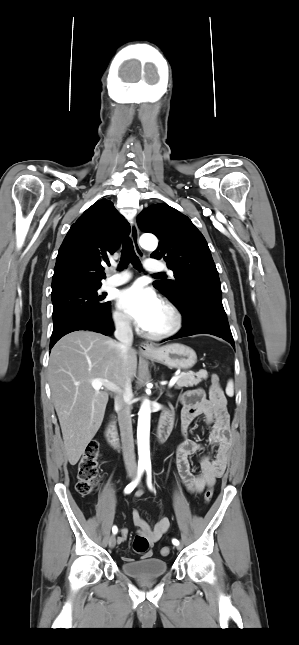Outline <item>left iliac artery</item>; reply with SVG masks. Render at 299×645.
I'll use <instances>...</instances> for the list:
<instances>
[{
	"label": "left iliac artery",
	"instance_id": "44dca946",
	"mask_svg": "<svg viewBox=\"0 0 299 645\" xmlns=\"http://www.w3.org/2000/svg\"><path fill=\"white\" fill-rule=\"evenodd\" d=\"M145 469H146V472H147V485H148L150 490H153L152 481H151V465H146ZM172 543L174 545H178L179 541L177 539H173Z\"/></svg>",
	"mask_w": 299,
	"mask_h": 645
}]
</instances>
